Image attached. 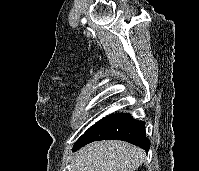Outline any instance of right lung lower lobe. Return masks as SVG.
<instances>
[{
  "label": "right lung lower lobe",
  "mask_w": 199,
  "mask_h": 171,
  "mask_svg": "<svg viewBox=\"0 0 199 171\" xmlns=\"http://www.w3.org/2000/svg\"><path fill=\"white\" fill-rule=\"evenodd\" d=\"M117 139L132 143L148 152L150 141L145 134V122L130 114H111L90 127L74 144L73 150L95 140Z\"/></svg>",
  "instance_id": "1"
}]
</instances>
